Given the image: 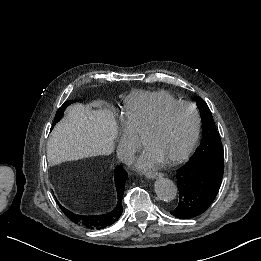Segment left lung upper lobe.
<instances>
[{"label":"left lung upper lobe","mask_w":261,"mask_h":261,"mask_svg":"<svg viewBox=\"0 0 261 261\" xmlns=\"http://www.w3.org/2000/svg\"><path fill=\"white\" fill-rule=\"evenodd\" d=\"M197 107L201 113L202 140L199 147L193 154V158H202L204 156H213L215 158L223 159V147L215 128V123L208 105L201 99H197Z\"/></svg>","instance_id":"left-lung-upper-lobe-1"}]
</instances>
